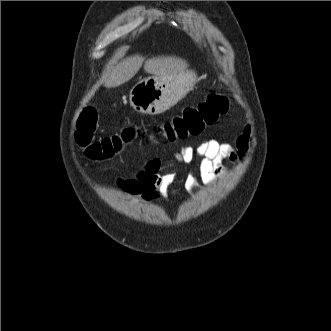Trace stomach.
Returning a JSON list of instances; mask_svg holds the SVG:
<instances>
[{
    "mask_svg": "<svg viewBox=\"0 0 331 331\" xmlns=\"http://www.w3.org/2000/svg\"><path fill=\"white\" fill-rule=\"evenodd\" d=\"M194 81L195 74L192 71H185L171 78H144L130 90V104L142 114L163 113L187 94Z\"/></svg>",
    "mask_w": 331,
    "mask_h": 331,
    "instance_id": "obj_1",
    "label": "stomach"
}]
</instances>
